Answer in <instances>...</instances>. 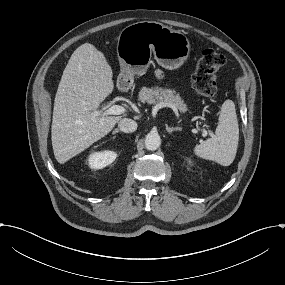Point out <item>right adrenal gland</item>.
<instances>
[{
  "instance_id": "right-adrenal-gland-1",
  "label": "right adrenal gland",
  "mask_w": 285,
  "mask_h": 285,
  "mask_svg": "<svg viewBox=\"0 0 285 285\" xmlns=\"http://www.w3.org/2000/svg\"><path fill=\"white\" fill-rule=\"evenodd\" d=\"M119 131H120L119 128H115V129L112 131V134L114 135V134L118 133Z\"/></svg>"
}]
</instances>
